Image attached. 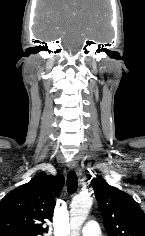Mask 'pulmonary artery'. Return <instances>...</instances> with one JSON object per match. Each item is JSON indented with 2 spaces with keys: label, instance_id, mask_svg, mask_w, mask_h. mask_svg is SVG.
Returning a JSON list of instances; mask_svg holds the SVG:
<instances>
[{
  "label": "pulmonary artery",
  "instance_id": "e3ab8cb5",
  "mask_svg": "<svg viewBox=\"0 0 145 236\" xmlns=\"http://www.w3.org/2000/svg\"><path fill=\"white\" fill-rule=\"evenodd\" d=\"M82 236H101V231L96 221H89L82 229Z\"/></svg>",
  "mask_w": 145,
  "mask_h": 236
}]
</instances>
